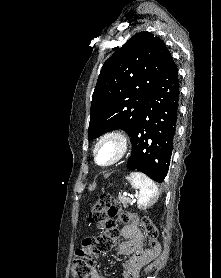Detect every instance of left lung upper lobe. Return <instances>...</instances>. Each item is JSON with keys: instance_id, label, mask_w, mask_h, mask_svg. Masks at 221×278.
Instances as JSON below:
<instances>
[{"instance_id": "left-lung-upper-lobe-1", "label": "left lung upper lobe", "mask_w": 221, "mask_h": 278, "mask_svg": "<svg viewBox=\"0 0 221 278\" xmlns=\"http://www.w3.org/2000/svg\"><path fill=\"white\" fill-rule=\"evenodd\" d=\"M115 51L104 63L92 96L88 139L115 129L130 136L172 58L165 43L149 32L134 35Z\"/></svg>"}]
</instances>
